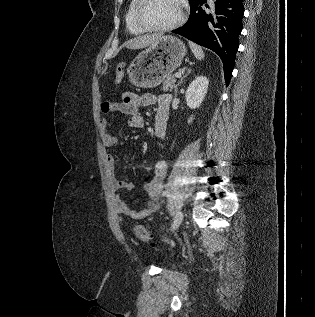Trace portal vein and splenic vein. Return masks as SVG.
Listing matches in <instances>:
<instances>
[{
  "instance_id": "1",
  "label": "portal vein and splenic vein",
  "mask_w": 315,
  "mask_h": 317,
  "mask_svg": "<svg viewBox=\"0 0 315 317\" xmlns=\"http://www.w3.org/2000/svg\"><path fill=\"white\" fill-rule=\"evenodd\" d=\"M181 75H182V71H179V72H177V73L175 74V77L180 78Z\"/></svg>"
}]
</instances>
